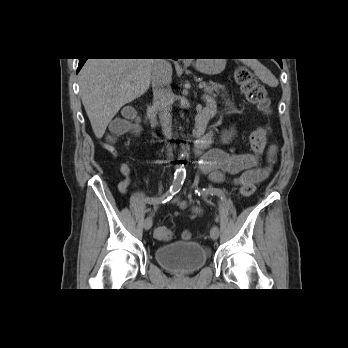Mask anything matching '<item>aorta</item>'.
Returning a JSON list of instances; mask_svg holds the SVG:
<instances>
[{"label": "aorta", "mask_w": 348, "mask_h": 348, "mask_svg": "<svg viewBox=\"0 0 348 348\" xmlns=\"http://www.w3.org/2000/svg\"><path fill=\"white\" fill-rule=\"evenodd\" d=\"M182 152H184V153H185V148H183Z\"/></svg>", "instance_id": "obj_1"}]
</instances>
